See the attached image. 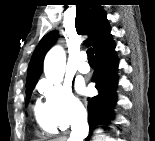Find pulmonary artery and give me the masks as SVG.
Instances as JSON below:
<instances>
[{
    "instance_id": "pulmonary-artery-1",
    "label": "pulmonary artery",
    "mask_w": 155,
    "mask_h": 141,
    "mask_svg": "<svg viewBox=\"0 0 155 141\" xmlns=\"http://www.w3.org/2000/svg\"><path fill=\"white\" fill-rule=\"evenodd\" d=\"M87 55L85 53H81L79 56V64L77 65V69L80 73L86 74L90 71L89 65L86 63Z\"/></svg>"
}]
</instances>
